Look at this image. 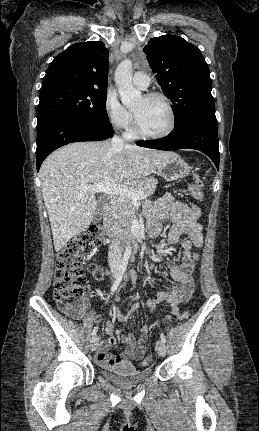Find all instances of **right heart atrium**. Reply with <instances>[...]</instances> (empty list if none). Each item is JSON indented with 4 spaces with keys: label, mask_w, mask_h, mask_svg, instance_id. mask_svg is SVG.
Segmentation results:
<instances>
[{
    "label": "right heart atrium",
    "mask_w": 259,
    "mask_h": 431,
    "mask_svg": "<svg viewBox=\"0 0 259 431\" xmlns=\"http://www.w3.org/2000/svg\"><path fill=\"white\" fill-rule=\"evenodd\" d=\"M104 112L109 124L115 129H128L132 123L131 113L120 103L113 91L106 95Z\"/></svg>",
    "instance_id": "d8ad5b80"
}]
</instances>
